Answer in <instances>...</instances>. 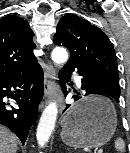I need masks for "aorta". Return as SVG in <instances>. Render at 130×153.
<instances>
[{"instance_id":"obj_1","label":"aorta","mask_w":130,"mask_h":153,"mask_svg":"<svg viewBox=\"0 0 130 153\" xmlns=\"http://www.w3.org/2000/svg\"><path fill=\"white\" fill-rule=\"evenodd\" d=\"M52 61L57 64H65L68 60V53L66 49L56 47L51 53ZM58 109L56 102H50L44 109L38 127H37V141L43 147L49 141L52 131L54 130Z\"/></svg>"}]
</instances>
